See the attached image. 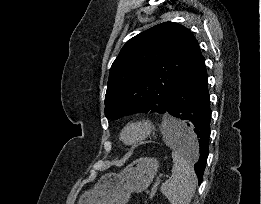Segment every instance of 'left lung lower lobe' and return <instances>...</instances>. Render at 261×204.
Instances as JSON below:
<instances>
[{"label":"left lung lower lobe","instance_id":"0a47b994","mask_svg":"<svg viewBox=\"0 0 261 204\" xmlns=\"http://www.w3.org/2000/svg\"><path fill=\"white\" fill-rule=\"evenodd\" d=\"M165 112L187 124L179 132L177 142L197 159L194 169L201 184L209 151L211 108L205 61L198 45Z\"/></svg>","mask_w":261,"mask_h":204}]
</instances>
